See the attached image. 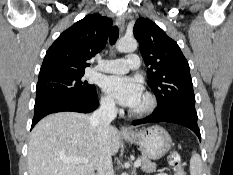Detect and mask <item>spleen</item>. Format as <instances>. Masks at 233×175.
<instances>
[{"label": "spleen", "instance_id": "3e777b00", "mask_svg": "<svg viewBox=\"0 0 233 175\" xmlns=\"http://www.w3.org/2000/svg\"><path fill=\"white\" fill-rule=\"evenodd\" d=\"M190 174L202 175V160L198 153L193 152L190 159Z\"/></svg>", "mask_w": 233, "mask_h": 175}]
</instances>
